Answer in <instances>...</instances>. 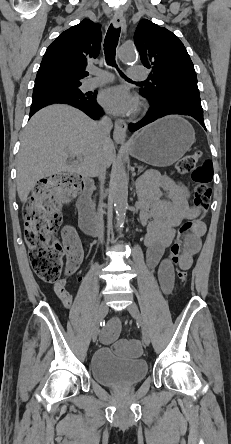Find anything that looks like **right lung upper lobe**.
I'll use <instances>...</instances> for the list:
<instances>
[{
	"mask_svg": "<svg viewBox=\"0 0 231 444\" xmlns=\"http://www.w3.org/2000/svg\"><path fill=\"white\" fill-rule=\"evenodd\" d=\"M100 45V26L89 19L62 32L43 56L34 90L55 84H81L87 64L98 56Z\"/></svg>",
	"mask_w": 231,
	"mask_h": 444,
	"instance_id": "right-lung-upper-lobe-1",
	"label": "right lung upper lobe"
}]
</instances>
